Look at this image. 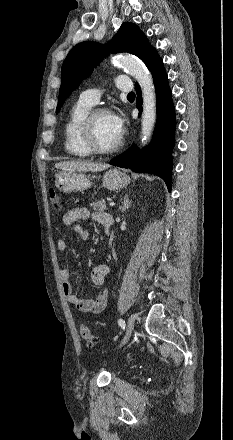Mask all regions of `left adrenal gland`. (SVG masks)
I'll list each match as a JSON object with an SVG mask.
<instances>
[{
	"label": "left adrenal gland",
	"instance_id": "obj_1",
	"mask_svg": "<svg viewBox=\"0 0 233 440\" xmlns=\"http://www.w3.org/2000/svg\"><path fill=\"white\" fill-rule=\"evenodd\" d=\"M130 205H131V201L129 200L128 195L126 194L123 198L122 205L120 207L121 212H125L126 209L130 207Z\"/></svg>",
	"mask_w": 233,
	"mask_h": 440
}]
</instances>
